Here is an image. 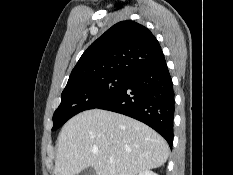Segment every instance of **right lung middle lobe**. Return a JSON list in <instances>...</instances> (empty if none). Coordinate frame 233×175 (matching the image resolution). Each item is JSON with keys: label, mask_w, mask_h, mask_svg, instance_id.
<instances>
[{"label": "right lung middle lobe", "mask_w": 233, "mask_h": 175, "mask_svg": "<svg viewBox=\"0 0 233 175\" xmlns=\"http://www.w3.org/2000/svg\"><path fill=\"white\" fill-rule=\"evenodd\" d=\"M131 75L108 73L67 83L61 104L53 115L52 130L61 127L74 115L94 109L112 99L126 85Z\"/></svg>", "instance_id": "dd1d6c3e"}]
</instances>
